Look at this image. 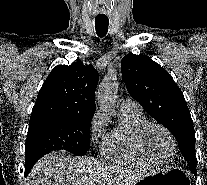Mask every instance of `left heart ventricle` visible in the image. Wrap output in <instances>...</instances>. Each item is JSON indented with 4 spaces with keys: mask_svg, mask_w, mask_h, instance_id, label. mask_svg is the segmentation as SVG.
Listing matches in <instances>:
<instances>
[{
    "mask_svg": "<svg viewBox=\"0 0 207 185\" xmlns=\"http://www.w3.org/2000/svg\"><path fill=\"white\" fill-rule=\"evenodd\" d=\"M148 145L151 151L162 160H169L174 152L170 138L162 130L153 128L148 134Z\"/></svg>",
    "mask_w": 207,
    "mask_h": 185,
    "instance_id": "left-heart-ventricle-1",
    "label": "left heart ventricle"
}]
</instances>
